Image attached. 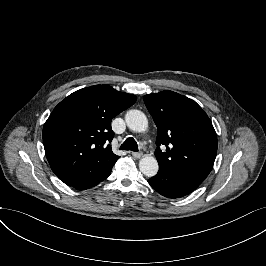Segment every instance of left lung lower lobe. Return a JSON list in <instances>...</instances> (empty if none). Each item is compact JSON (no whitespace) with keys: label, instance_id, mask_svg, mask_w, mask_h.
<instances>
[{"label":"left lung lower lobe","instance_id":"0a47b994","mask_svg":"<svg viewBox=\"0 0 266 266\" xmlns=\"http://www.w3.org/2000/svg\"><path fill=\"white\" fill-rule=\"evenodd\" d=\"M148 183L167 198L186 196L201 184L163 167H159L158 173L150 178Z\"/></svg>","mask_w":266,"mask_h":266}]
</instances>
